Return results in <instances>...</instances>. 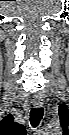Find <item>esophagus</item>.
<instances>
[{
	"instance_id": "esophagus-1",
	"label": "esophagus",
	"mask_w": 69,
	"mask_h": 135,
	"mask_svg": "<svg viewBox=\"0 0 69 135\" xmlns=\"http://www.w3.org/2000/svg\"><path fill=\"white\" fill-rule=\"evenodd\" d=\"M33 106L36 108H40L43 106V102H41L39 100H35V101H33Z\"/></svg>"
}]
</instances>
